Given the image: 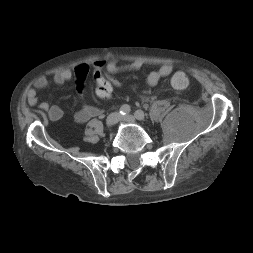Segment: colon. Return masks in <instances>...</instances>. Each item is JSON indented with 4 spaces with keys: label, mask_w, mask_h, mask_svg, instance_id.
<instances>
[{
    "label": "colon",
    "mask_w": 253,
    "mask_h": 253,
    "mask_svg": "<svg viewBox=\"0 0 253 253\" xmlns=\"http://www.w3.org/2000/svg\"><path fill=\"white\" fill-rule=\"evenodd\" d=\"M93 80L96 85V93L102 99H109L113 89L121 87L123 83L114 75L107 71L104 61H97L93 64ZM190 84V79L184 72H178L171 78V86L177 90L186 89Z\"/></svg>",
    "instance_id": "1"
}]
</instances>
